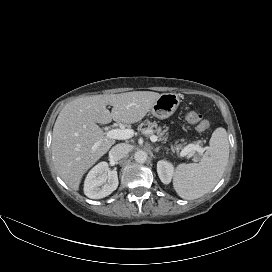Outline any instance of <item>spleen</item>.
Instances as JSON below:
<instances>
[{
  "mask_svg": "<svg viewBox=\"0 0 272 272\" xmlns=\"http://www.w3.org/2000/svg\"><path fill=\"white\" fill-rule=\"evenodd\" d=\"M229 158V141L223 127L214 130L209 147L199 163L179 164L173 175L177 194L186 200L208 193L221 179Z\"/></svg>",
  "mask_w": 272,
  "mask_h": 272,
  "instance_id": "spleen-1",
  "label": "spleen"
}]
</instances>
